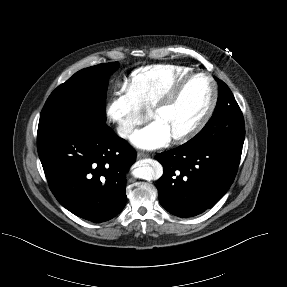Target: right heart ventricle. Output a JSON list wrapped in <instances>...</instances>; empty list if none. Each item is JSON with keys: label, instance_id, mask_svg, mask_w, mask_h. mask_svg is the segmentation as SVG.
Masks as SVG:
<instances>
[{"label": "right heart ventricle", "instance_id": "1", "mask_svg": "<svg viewBox=\"0 0 287 287\" xmlns=\"http://www.w3.org/2000/svg\"><path fill=\"white\" fill-rule=\"evenodd\" d=\"M187 66L160 64L139 68L130 75L128 86L143 109H150L183 76Z\"/></svg>", "mask_w": 287, "mask_h": 287}]
</instances>
